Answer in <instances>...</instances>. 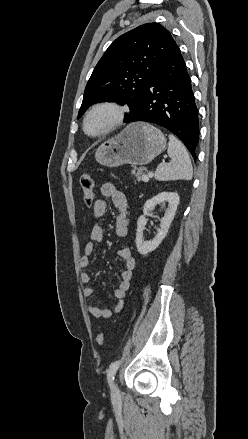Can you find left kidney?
<instances>
[{"mask_svg":"<svg viewBox=\"0 0 248 439\" xmlns=\"http://www.w3.org/2000/svg\"><path fill=\"white\" fill-rule=\"evenodd\" d=\"M166 202L168 203V208L165 211L164 217L160 219V228L157 230L156 236L150 241H145L143 238V231L146 225L145 216L150 214L155 206ZM178 204L179 195L175 192H161L146 201L143 206L144 214L137 221L136 246L141 255H147L154 251L166 237L171 222L174 219Z\"/></svg>","mask_w":248,"mask_h":439,"instance_id":"left-kidney-1","label":"left kidney"}]
</instances>
